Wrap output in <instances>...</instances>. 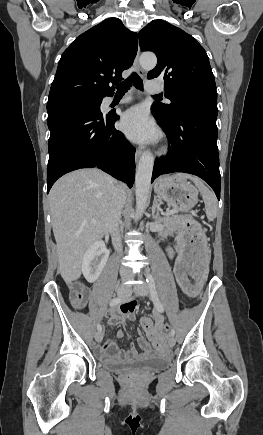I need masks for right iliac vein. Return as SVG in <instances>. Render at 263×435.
Returning <instances> with one entry per match:
<instances>
[{
  "label": "right iliac vein",
  "mask_w": 263,
  "mask_h": 435,
  "mask_svg": "<svg viewBox=\"0 0 263 435\" xmlns=\"http://www.w3.org/2000/svg\"><path fill=\"white\" fill-rule=\"evenodd\" d=\"M116 293H117V295L120 298H125V297H127L129 295L130 290L128 288H126V287H119V288H117ZM94 337H95V340L97 342H100V341H102L103 334H102L101 331H98V332L95 333Z\"/></svg>",
  "instance_id": "right-iliac-vein-1"
}]
</instances>
